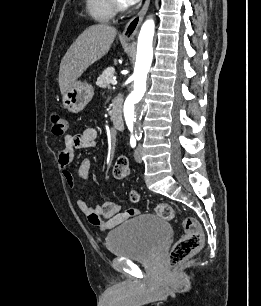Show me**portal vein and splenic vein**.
<instances>
[{"label":"portal vein and splenic vein","instance_id":"1","mask_svg":"<svg viewBox=\"0 0 261 306\" xmlns=\"http://www.w3.org/2000/svg\"><path fill=\"white\" fill-rule=\"evenodd\" d=\"M111 84H112V85H116V84H117V81H116V80H112V81H111Z\"/></svg>","mask_w":261,"mask_h":306}]
</instances>
